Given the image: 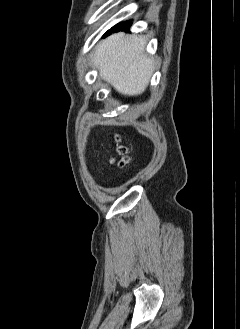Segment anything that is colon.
Returning a JSON list of instances; mask_svg holds the SVG:
<instances>
[{
	"instance_id": "colon-1",
	"label": "colon",
	"mask_w": 240,
	"mask_h": 329,
	"mask_svg": "<svg viewBox=\"0 0 240 329\" xmlns=\"http://www.w3.org/2000/svg\"><path fill=\"white\" fill-rule=\"evenodd\" d=\"M115 152L117 157L113 159V163L120 169H125L130 162V158L127 156V149L122 145H116Z\"/></svg>"
}]
</instances>
